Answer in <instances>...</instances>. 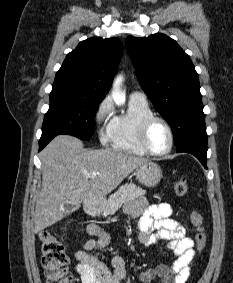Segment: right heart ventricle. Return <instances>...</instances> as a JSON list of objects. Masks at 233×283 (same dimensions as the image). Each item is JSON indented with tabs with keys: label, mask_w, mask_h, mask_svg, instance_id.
<instances>
[{
	"label": "right heart ventricle",
	"mask_w": 233,
	"mask_h": 283,
	"mask_svg": "<svg viewBox=\"0 0 233 283\" xmlns=\"http://www.w3.org/2000/svg\"><path fill=\"white\" fill-rule=\"evenodd\" d=\"M147 102L129 101L127 111L114 116L111 146L117 151L143 156L146 153L138 145L136 131L139 122L151 115Z\"/></svg>",
	"instance_id": "e07e8e85"
}]
</instances>
